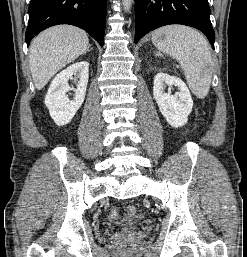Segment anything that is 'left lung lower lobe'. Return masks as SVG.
<instances>
[{
  "mask_svg": "<svg viewBox=\"0 0 247 257\" xmlns=\"http://www.w3.org/2000/svg\"><path fill=\"white\" fill-rule=\"evenodd\" d=\"M168 24L199 29L214 49L215 33L207 0H135V43L148 32Z\"/></svg>",
  "mask_w": 247,
  "mask_h": 257,
  "instance_id": "obj_1",
  "label": "left lung lower lobe"
}]
</instances>
